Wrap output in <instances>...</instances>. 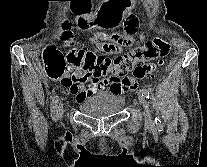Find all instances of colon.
<instances>
[{"instance_id":"5ec220e1","label":"colon","mask_w":207,"mask_h":167,"mask_svg":"<svg viewBox=\"0 0 207 167\" xmlns=\"http://www.w3.org/2000/svg\"><path fill=\"white\" fill-rule=\"evenodd\" d=\"M67 29L68 25L64 24ZM125 28V24H124ZM62 39L66 42L70 39V32L65 31L62 34ZM168 52V44L161 38L156 37L145 45L137 47L129 53L117 57L113 62L101 55L87 49L71 48L67 59L74 65H82L84 70L91 76L101 77L113 71L116 67L120 73H125L133 69V75L136 80H141L146 76H150L161 64L153 63L152 60L165 56ZM142 64L137 65V63ZM64 69L63 58L61 54L50 49L45 56V72L52 79H60Z\"/></svg>"}]
</instances>
